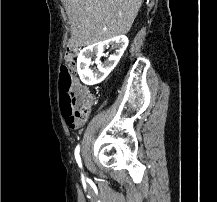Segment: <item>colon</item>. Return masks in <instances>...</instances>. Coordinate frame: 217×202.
<instances>
[{"label":"colon","mask_w":217,"mask_h":202,"mask_svg":"<svg viewBox=\"0 0 217 202\" xmlns=\"http://www.w3.org/2000/svg\"><path fill=\"white\" fill-rule=\"evenodd\" d=\"M77 52H79V47H67L66 55L62 60L65 67L60 68L61 75L59 76V79L63 81L59 86L60 102L64 111L61 112V117H66L70 129L84 128V123H78L82 112L77 108L80 107L83 108V111H88L89 103L95 102L94 93H77V91L83 90L82 86H77L81 85L82 81L76 80L77 68L80 67V64L73 63V55H77Z\"/></svg>","instance_id":"colon-1"}]
</instances>
